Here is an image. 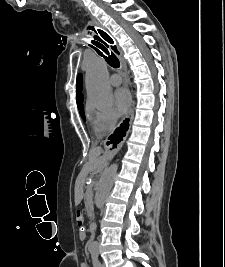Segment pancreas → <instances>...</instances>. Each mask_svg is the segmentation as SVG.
<instances>
[{"instance_id": "cf45deb5", "label": "pancreas", "mask_w": 225, "mask_h": 267, "mask_svg": "<svg viewBox=\"0 0 225 267\" xmlns=\"http://www.w3.org/2000/svg\"><path fill=\"white\" fill-rule=\"evenodd\" d=\"M85 203H86L87 210L89 212H91V210H92V190H91V186L86 189Z\"/></svg>"}]
</instances>
